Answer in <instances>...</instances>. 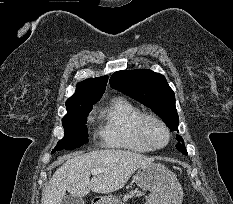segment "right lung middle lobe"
<instances>
[{
	"instance_id": "right-lung-middle-lobe-1",
	"label": "right lung middle lobe",
	"mask_w": 233,
	"mask_h": 204,
	"mask_svg": "<svg viewBox=\"0 0 233 204\" xmlns=\"http://www.w3.org/2000/svg\"><path fill=\"white\" fill-rule=\"evenodd\" d=\"M91 110L92 105L67 109V114L62 119L64 138L59 140L52 153L62 149H75L89 141L86 121Z\"/></svg>"
}]
</instances>
